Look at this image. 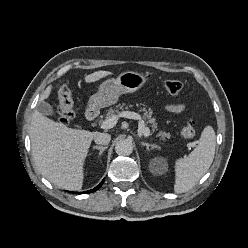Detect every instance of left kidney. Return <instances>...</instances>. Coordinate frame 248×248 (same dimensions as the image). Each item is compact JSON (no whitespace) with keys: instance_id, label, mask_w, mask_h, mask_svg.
<instances>
[{"instance_id":"5707ae66","label":"left kidney","mask_w":248,"mask_h":248,"mask_svg":"<svg viewBox=\"0 0 248 248\" xmlns=\"http://www.w3.org/2000/svg\"><path fill=\"white\" fill-rule=\"evenodd\" d=\"M159 163H164V160L162 158H154L151 162H150V171L152 173H158V169H157V165Z\"/></svg>"}]
</instances>
